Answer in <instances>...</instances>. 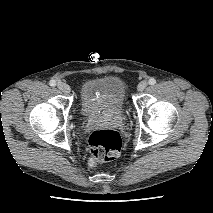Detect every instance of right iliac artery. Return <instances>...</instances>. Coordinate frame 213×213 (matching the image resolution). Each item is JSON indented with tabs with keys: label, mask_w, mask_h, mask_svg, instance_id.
<instances>
[{
	"label": "right iliac artery",
	"mask_w": 213,
	"mask_h": 213,
	"mask_svg": "<svg viewBox=\"0 0 213 213\" xmlns=\"http://www.w3.org/2000/svg\"><path fill=\"white\" fill-rule=\"evenodd\" d=\"M49 85L54 87L56 85V81L55 80H50Z\"/></svg>",
	"instance_id": "right-iliac-artery-1"
}]
</instances>
